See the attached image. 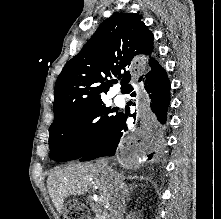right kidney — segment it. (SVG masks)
Masks as SVG:
<instances>
[{"label":"right kidney","instance_id":"1","mask_svg":"<svg viewBox=\"0 0 221 219\" xmlns=\"http://www.w3.org/2000/svg\"><path fill=\"white\" fill-rule=\"evenodd\" d=\"M134 214H135V213H130V214L128 215V218H127V219H129L131 216L133 217V219H135V218H134Z\"/></svg>","mask_w":221,"mask_h":219}]
</instances>
